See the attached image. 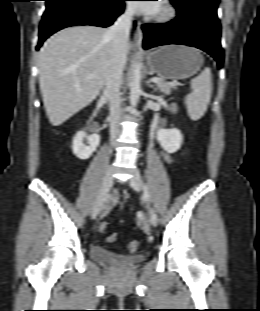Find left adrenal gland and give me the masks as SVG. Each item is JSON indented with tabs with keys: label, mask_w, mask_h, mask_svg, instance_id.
<instances>
[{
	"label": "left adrenal gland",
	"mask_w": 260,
	"mask_h": 311,
	"mask_svg": "<svg viewBox=\"0 0 260 311\" xmlns=\"http://www.w3.org/2000/svg\"><path fill=\"white\" fill-rule=\"evenodd\" d=\"M147 86L152 88L154 91H157V88H155L152 84H151V80L147 81Z\"/></svg>",
	"instance_id": "1"
}]
</instances>
